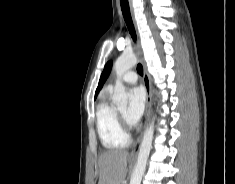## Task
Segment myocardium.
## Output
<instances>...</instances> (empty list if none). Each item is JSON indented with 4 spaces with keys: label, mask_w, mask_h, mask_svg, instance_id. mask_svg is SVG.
I'll return each mask as SVG.
<instances>
[{
    "label": "myocardium",
    "mask_w": 235,
    "mask_h": 184,
    "mask_svg": "<svg viewBox=\"0 0 235 184\" xmlns=\"http://www.w3.org/2000/svg\"><path fill=\"white\" fill-rule=\"evenodd\" d=\"M121 120H122V122H123V124H124L123 129H124V131L128 134L129 128H128V126H127V123H126V121H125L123 115H121Z\"/></svg>",
    "instance_id": "obj_1"
}]
</instances>
